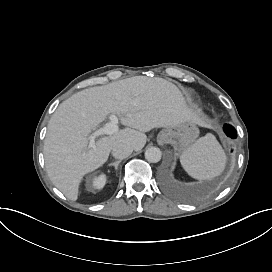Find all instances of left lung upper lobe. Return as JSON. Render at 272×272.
Wrapping results in <instances>:
<instances>
[{"label":"left lung upper lobe","mask_w":272,"mask_h":272,"mask_svg":"<svg viewBox=\"0 0 272 272\" xmlns=\"http://www.w3.org/2000/svg\"><path fill=\"white\" fill-rule=\"evenodd\" d=\"M227 125H228V124H225V125H224V131H225V128H226ZM229 126H231V125H229ZM231 127H232V126H231ZM234 129H235V128H234Z\"/></svg>","instance_id":"5c2ea615"}]
</instances>
